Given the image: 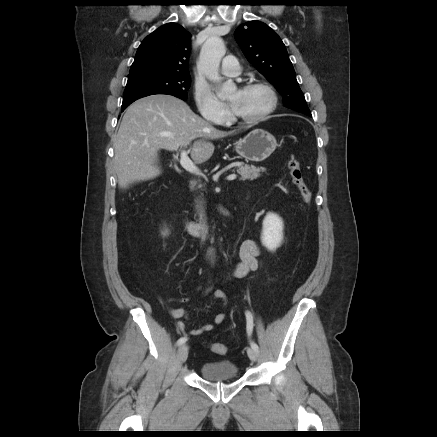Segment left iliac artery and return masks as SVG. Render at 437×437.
<instances>
[{
    "mask_svg": "<svg viewBox=\"0 0 437 437\" xmlns=\"http://www.w3.org/2000/svg\"><path fill=\"white\" fill-rule=\"evenodd\" d=\"M245 315H246V320H247V333H248V336H251L252 329H253V316H252L251 312H249V311H246ZM250 345L253 349L258 351V345L254 341H251Z\"/></svg>",
    "mask_w": 437,
    "mask_h": 437,
    "instance_id": "obj_1",
    "label": "left iliac artery"
}]
</instances>
